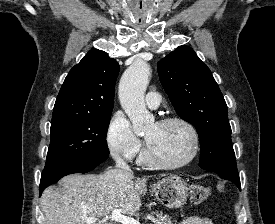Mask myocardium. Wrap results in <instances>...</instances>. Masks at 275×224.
<instances>
[{"instance_id":"obj_1","label":"myocardium","mask_w":275,"mask_h":224,"mask_svg":"<svg viewBox=\"0 0 275 224\" xmlns=\"http://www.w3.org/2000/svg\"><path fill=\"white\" fill-rule=\"evenodd\" d=\"M170 123H180L183 126H185L187 128V130L189 131L191 138H192V150L191 153L189 155V157L187 159H185L184 161L180 162V163H176V164H167V163H163L158 161L153 154L150 151V148L148 146V144L146 143V148L144 151V161L151 167L157 168V169H162V170H177V169H181L183 167L188 166L189 164H191L195 158L198 155L199 152V145H200V141H199V134L195 128V126L188 121L187 119L180 117V116H168V117H163L160 120L157 121L158 125H167Z\"/></svg>"}]
</instances>
